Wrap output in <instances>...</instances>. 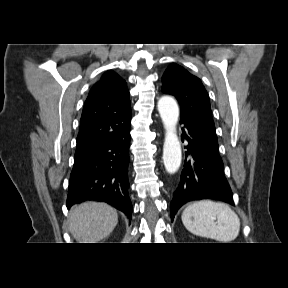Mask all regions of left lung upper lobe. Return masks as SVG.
I'll return each instance as SVG.
<instances>
[{
	"label": "left lung upper lobe",
	"mask_w": 288,
	"mask_h": 288,
	"mask_svg": "<svg viewBox=\"0 0 288 288\" xmlns=\"http://www.w3.org/2000/svg\"><path fill=\"white\" fill-rule=\"evenodd\" d=\"M162 92L174 95L181 107V118L195 121L216 136L210 101L200 79L172 63L162 76Z\"/></svg>",
	"instance_id": "left-lung-upper-lobe-1"
}]
</instances>
